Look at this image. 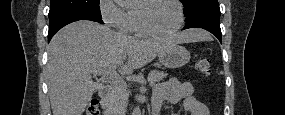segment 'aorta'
Here are the masks:
<instances>
[{"label": "aorta", "instance_id": "762f6f07", "mask_svg": "<svg viewBox=\"0 0 285 115\" xmlns=\"http://www.w3.org/2000/svg\"><path fill=\"white\" fill-rule=\"evenodd\" d=\"M116 2H117L118 4H124V3H125V0H116ZM133 115H141V110H140L139 107H137V108H135V109L133 110Z\"/></svg>", "mask_w": 285, "mask_h": 115}]
</instances>
